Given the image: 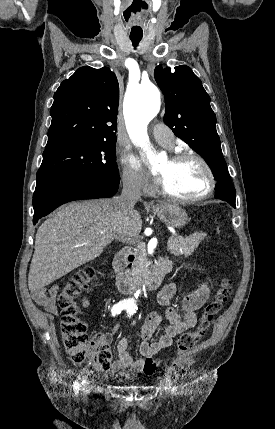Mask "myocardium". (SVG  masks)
<instances>
[{
  "instance_id": "f54148a6",
  "label": "myocardium",
  "mask_w": 275,
  "mask_h": 429,
  "mask_svg": "<svg viewBox=\"0 0 275 429\" xmlns=\"http://www.w3.org/2000/svg\"><path fill=\"white\" fill-rule=\"evenodd\" d=\"M185 160H196L197 162H199L202 165V167L204 168V170L207 174V178H208L207 190L199 196L180 197V196H176V195L170 193L161 183L160 184V192L165 198L172 200L174 202H178V203L193 204V203H198V202L204 201L207 198H209L210 196H212V194L214 193V191L216 189L217 180H216L214 171H213L212 167L210 166V164L206 161V159L203 158L201 155L195 153V152H178V153H175L174 155H172L170 158V161H172L174 163L182 162Z\"/></svg>"
}]
</instances>
